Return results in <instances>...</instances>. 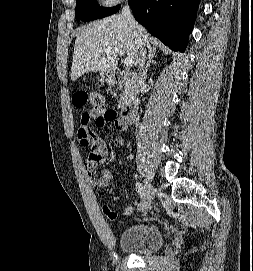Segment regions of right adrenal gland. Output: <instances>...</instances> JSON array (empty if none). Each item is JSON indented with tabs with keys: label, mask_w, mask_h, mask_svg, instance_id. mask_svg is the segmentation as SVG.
<instances>
[{
	"label": "right adrenal gland",
	"mask_w": 253,
	"mask_h": 271,
	"mask_svg": "<svg viewBox=\"0 0 253 271\" xmlns=\"http://www.w3.org/2000/svg\"><path fill=\"white\" fill-rule=\"evenodd\" d=\"M155 58H156L155 54H153V53L148 54V61L146 63L145 72L148 71L151 64H156Z\"/></svg>",
	"instance_id": "right-adrenal-gland-1"
}]
</instances>
